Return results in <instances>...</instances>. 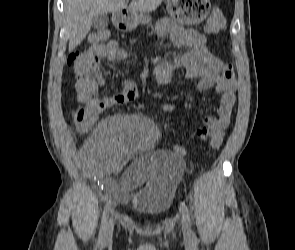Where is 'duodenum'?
<instances>
[{
    "label": "duodenum",
    "instance_id": "1",
    "mask_svg": "<svg viewBox=\"0 0 295 250\" xmlns=\"http://www.w3.org/2000/svg\"><path fill=\"white\" fill-rule=\"evenodd\" d=\"M127 10L123 9L120 11L118 17H117V21H127Z\"/></svg>",
    "mask_w": 295,
    "mask_h": 250
}]
</instances>
